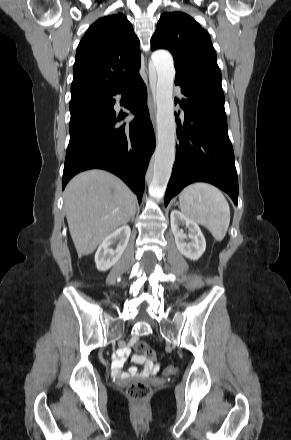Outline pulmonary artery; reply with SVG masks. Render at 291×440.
<instances>
[{
	"instance_id": "e3ab8cb5",
	"label": "pulmonary artery",
	"mask_w": 291,
	"mask_h": 440,
	"mask_svg": "<svg viewBox=\"0 0 291 440\" xmlns=\"http://www.w3.org/2000/svg\"><path fill=\"white\" fill-rule=\"evenodd\" d=\"M176 94L179 96V97H182V92H181V90L180 89H176Z\"/></svg>"
}]
</instances>
